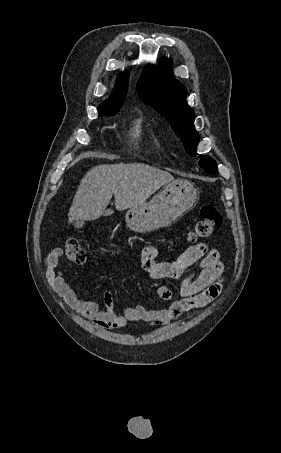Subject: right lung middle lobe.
<instances>
[{
    "mask_svg": "<svg viewBox=\"0 0 281 453\" xmlns=\"http://www.w3.org/2000/svg\"><path fill=\"white\" fill-rule=\"evenodd\" d=\"M118 111L108 113L107 115H115Z\"/></svg>",
    "mask_w": 281,
    "mask_h": 453,
    "instance_id": "1",
    "label": "right lung middle lobe"
}]
</instances>
